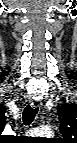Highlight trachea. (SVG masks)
Returning a JSON list of instances; mask_svg holds the SVG:
<instances>
[{"instance_id":"3493384b","label":"trachea","mask_w":77,"mask_h":143,"mask_svg":"<svg viewBox=\"0 0 77 143\" xmlns=\"http://www.w3.org/2000/svg\"><path fill=\"white\" fill-rule=\"evenodd\" d=\"M38 112V108H33L30 105H27L23 111V122L25 125H29L33 122L36 114Z\"/></svg>"}]
</instances>
